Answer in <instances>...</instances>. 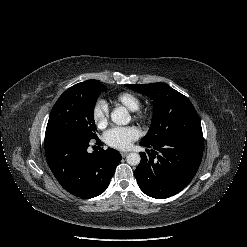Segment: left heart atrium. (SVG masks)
<instances>
[{
  "label": "left heart atrium",
  "mask_w": 247,
  "mask_h": 247,
  "mask_svg": "<svg viewBox=\"0 0 247 247\" xmlns=\"http://www.w3.org/2000/svg\"><path fill=\"white\" fill-rule=\"evenodd\" d=\"M139 134L134 127H114L109 129L105 135V142L116 149H127L138 138Z\"/></svg>",
  "instance_id": "39dd6f15"
}]
</instances>
